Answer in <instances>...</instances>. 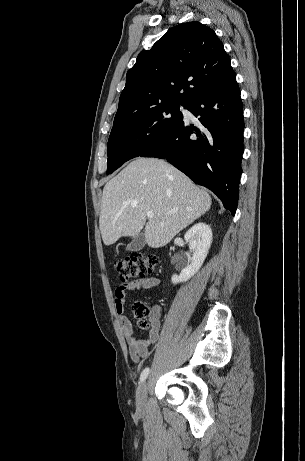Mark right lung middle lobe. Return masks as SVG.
<instances>
[{"label":"right lung middle lobe","instance_id":"right-lung-middle-lobe-1","mask_svg":"<svg viewBox=\"0 0 305 461\" xmlns=\"http://www.w3.org/2000/svg\"><path fill=\"white\" fill-rule=\"evenodd\" d=\"M180 106L187 109L188 104H164L114 123L108 140L107 174L166 140L183 122Z\"/></svg>","mask_w":305,"mask_h":461}]
</instances>
